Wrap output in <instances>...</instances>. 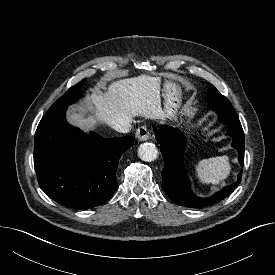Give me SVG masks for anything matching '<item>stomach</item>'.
I'll use <instances>...</instances> for the list:
<instances>
[{"label":"stomach","mask_w":275,"mask_h":275,"mask_svg":"<svg viewBox=\"0 0 275 275\" xmlns=\"http://www.w3.org/2000/svg\"><path fill=\"white\" fill-rule=\"evenodd\" d=\"M164 111L167 118L176 120L181 105V89L177 83L166 80L163 87Z\"/></svg>","instance_id":"0dacf381"}]
</instances>
